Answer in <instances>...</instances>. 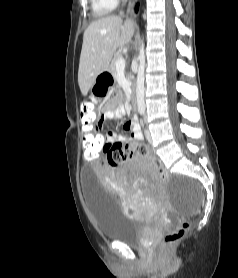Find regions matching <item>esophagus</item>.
I'll return each instance as SVG.
<instances>
[{
    "mask_svg": "<svg viewBox=\"0 0 238 278\" xmlns=\"http://www.w3.org/2000/svg\"><path fill=\"white\" fill-rule=\"evenodd\" d=\"M134 2H135V0H132V1H131L130 7L133 5Z\"/></svg>",
    "mask_w": 238,
    "mask_h": 278,
    "instance_id": "1",
    "label": "esophagus"
}]
</instances>
